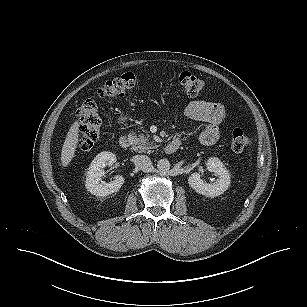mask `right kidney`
<instances>
[{
	"label": "right kidney",
	"mask_w": 307,
	"mask_h": 307,
	"mask_svg": "<svg viewBox=\"0 0 307 307\" xmlns=\"http://www.w3.org/2000/svg\"><path fill=\"white\" fill-rule=\"evenodd\" d=\"M116 160V155L108 151H103L94 158L88 168L85 181L86 189L91 194L104 197L117 192L122 187L124 183L122 175L115 176V179L109 183H100L101 177L105 174L104 168L112 166Z\"/></svg>",
	"instance_id": "ca27d5eb"
}]
</instances>
